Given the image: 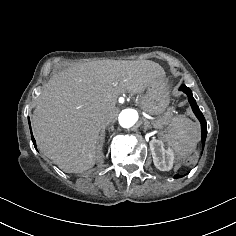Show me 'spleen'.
Instances as JSON below:
<instances>
[{
    "label": "spleen",
    "mask_w": 236,
    "mask_h": 236,
    "mask_svg": "<svg viewBox=\"0 0 236 236\" xmlns=\"http://www.w3.org/2000/svg\"><path fill=\"white\" fill-rule=\"evenodd\" d=\"M163 140L180 155L191 154L199 141V127L184 117L172 118L164 128Z\"/></svg>",
    "instance_id": "1"
}]
</instances>
